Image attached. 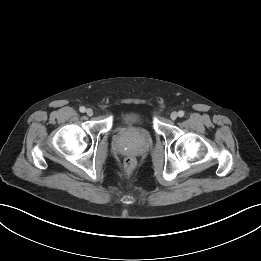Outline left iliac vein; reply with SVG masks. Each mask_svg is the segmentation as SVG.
I'll list each match as a JSON object with an SVG mask.
<instances>
[{
  "instance_id": "obj_1",
  "label": "left iliac vein",
  "mask_w": 261,
  "mask_h": 261,
  "mask_svg": "<svg viewBox=\"0 0 261 261\" xmlns=\"http://www.w3.org/2000/svg\"><path fill=\"white\" fill-rule=\"evenodd\" d=\"M177 117H178L177 112H172L171 115H170V118H171L172 120H175Z\"/></svg>"
}]
</instances>
